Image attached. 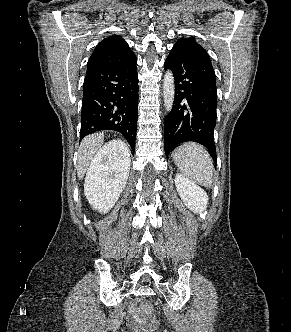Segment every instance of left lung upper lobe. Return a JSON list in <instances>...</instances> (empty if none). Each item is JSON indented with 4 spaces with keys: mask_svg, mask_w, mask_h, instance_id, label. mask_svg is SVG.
<instances>
[{
    "mask_svg": "<svg viewBox=\"0 0 291 332\" xmlns=\"http://www.w3.org/2000/svg\"><path fill=\"white\" fill-rule=\"evenodd\" d=\"M174 48H179L182 50H196L206 52V50L196 42L194 37L181 38L174 45Z\"/></svg>",
    "mask_w": 291,
    "mask_h": 332,
    "instance_id": "left-lung-upper-lobe-1",
    "label": "left lung upper lobe"
}]
</instances>
